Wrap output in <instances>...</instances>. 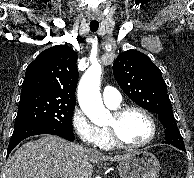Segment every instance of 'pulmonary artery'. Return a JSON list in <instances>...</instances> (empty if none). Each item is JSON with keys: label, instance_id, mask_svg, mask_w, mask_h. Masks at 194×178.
I'll return each instance as SVG.
<instances>
[{"label": "pulmonary artery", "instance_id": "e3ab8cb5", "mask_svg": "<svg viewBox=\"0 0 194 178\" xmlns=\"http://www.w3.org/2000/svg\"><path fill=\"white\" fill-rule=\"evenodd\" d=\"M103 101L108 106H117L121 103V95L117 89L106 86L102 92Z\"/></svg>", "mask_w": 194, "mask_h": 178}]
</instances>
